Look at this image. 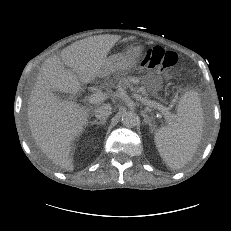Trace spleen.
Wrapping results in <instances>:
<instances>
[{"label":"spleen","instance_id":"1","mask_svg":"<svg viewBox=\"0 0 231 231\" xmlns=\"http://www.w3.org/2000/svg\"><path fill=\"white\" fill-rule=\"evenodd\" d=\"M203 111L196 92H187L178 104L177 116L156 130L155 145L166 165L180 169L190 162L201 142Z\"/></svg>","mask_w":231,"mask_h":231}]
</instances>
